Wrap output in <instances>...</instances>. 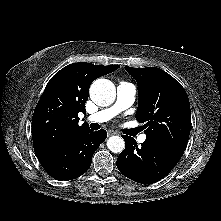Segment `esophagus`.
Here are the masks:
<instances>
[{
    "label": "esophagus",
    "mask_w": 221,
    "mask_h": 221,
    "mask_svg": "<svg viewBox=\"0 0 221 221\" xmlns=\"http://www.w3.org/2000/svg\"><path fill=\"white\" fill-rule=\"evenodd\" d=\"M107 134H108V136H112V135L117 134V132H115V131H113V130H109V131L107 132Z\"/></svg>",
    "instance_id": "obj_1"
}]
</instances>
